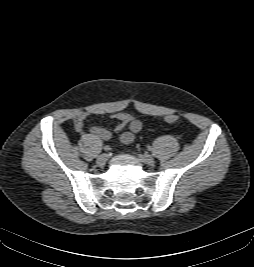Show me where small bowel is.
<instances>
[{
	"instance_id": "obj_1",
	"label": "small bowel",
	"mask_w": 254,
	"mask_h": 267,
	"mask_svg": "<svg viewBox=\"0 0 254 267\" xmlns=\"http://www.w3.org/2000/svg\"><path fill=\"white\" fill-rule=\"evenodd\" d=\"M88 118V113L80 112L74 117V127L76 131L83 132L85 121ZM113 118L117 121L115 130L121 132L125 127H128V131L121 132L119 140L123 145L131 144L142 129V122L126 112H118L113 115ZM171 124V123H170ZM90 134L96 138L107 141L110 140L112 134L109 130L103 127L93 126L89 130Z\"/></svg>"
}]
</instances>
